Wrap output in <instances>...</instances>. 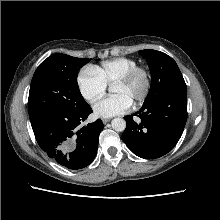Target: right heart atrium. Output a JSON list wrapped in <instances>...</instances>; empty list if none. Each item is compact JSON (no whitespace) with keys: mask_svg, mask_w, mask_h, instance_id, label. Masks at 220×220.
Here are the masks:
<instances>
[{"mask_svg":"<svg viewBox=\"0 0 220 220\" xmlns=\"http://www.w3.org/2000/svg\"><path fill=\"white\" fill-rule=\"evenodd\" d=\"M77 85L82 98L93 103L106 91L107 85L97 76L92 67H85L77 77Z\"/></svg>","mask_w":220,"mask_h":220,"instance_id":"1","label":"right heart atrium"}]
</instances>
